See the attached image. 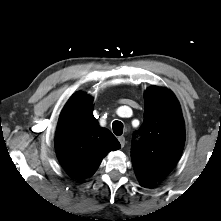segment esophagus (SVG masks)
<instances>
[{
    "label": "esophagus",
    "instance_id": "1",
    "mask_svg": "<svg viewBox=\"0 0 221 221\" xmlns=\"http://www.w3.org/2000/svg\"><path fill=\"white\" fill-rule=\"evenodd\" d=\"M118 141L120 142L121 147H124V145H125V137L124 136L118 137Z\"/></svg>",
    "mask_w": 221,
    "mask_h": 221
}]
</instances>
